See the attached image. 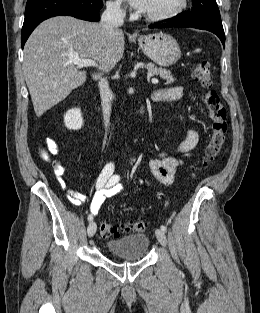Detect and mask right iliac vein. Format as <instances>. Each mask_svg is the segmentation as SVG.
Returning <instances> with one entry per match:
<instances>
[{"mask_svg":"<svg viewBox=\"0 0 260 313\" xmlns=\"http://www.w3.org/2000/svg\"><path fill=\"white\" fill-rule=\"evenodd\" d=\"M96 229H97L96 223L95 222H91L89 224L88 230H87L88 231V236L89 237H93L95 235V233H96Z\"/></svg>","mask_w":260,"mask_h":313,"instance_id":"right-iliac-vein-1","label":"right iliac vein"}]
</instances>
